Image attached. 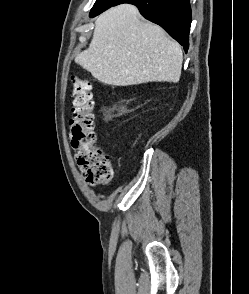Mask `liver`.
<instances>
[{"mask_svg":"<svg viewBox=\"0 0 249 294\" xmlns=\"http://www.w3.org/2000/svg\"><path fill=\"white\" fill-rule=\"evenodd\" d=\"M76 61L108 85L176 83L183 52L161 27L142 21L135 6L122 4L96 19L91 43Z\"/></svg>","mask_w":249,"mask_h":294,"instance_id":"1","label":"liver"}]
</instances>
